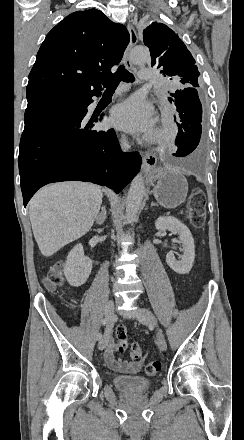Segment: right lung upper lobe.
<instances>
[{
  "mask_svg": "<svg viewBox=\"0 0 244 440\" xmlns=\"http://www.w3.org/2000/svg\"><path fill=\"white\" fill-rule=\"evenodd\" d=\"M130 40L125 26L101 11H77L58 23L42 43L26 88L28 100L84 98L101 91V78L112 76Z\"/></svg>",
  "mask_w": 244,
  "mask_h": 440,
  "instance_id": "cb5924a9",
  "label": "right lung upper lobe"
}]
</instances>
